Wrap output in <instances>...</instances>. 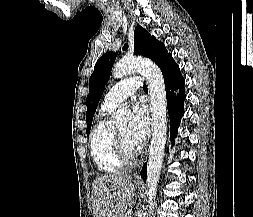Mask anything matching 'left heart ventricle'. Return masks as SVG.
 Here are the masks:
<instances>
[{
  "label": "left heart ventricle",
  "mask_w": 253,
  "mask_h": 217,
  "mask_svg": "<svg viewBox=\"0 0 253 217\" xmlns=\"http://www.w3.org/2000/svg\"><path fill=\"white\" fill-rule=\"evenodd\" d=\"M116 132L122 137V139L125 141L126 145L129 148H135L137 147L136 144L130 139L128 135V126L123 125L116 129Z\"/></svg>",
  "instance_id": "left-heart-ventricle-1"
}]
</instances>
